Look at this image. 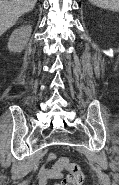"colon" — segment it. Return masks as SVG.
<instances>
[{"label": "colon", "instance_id": "5ec220e1", "mask_svg": "<svg viewBox=\"0 0 119 185\" xmlns=\"http://www.w3.org/2000/svg\"><path fill=\"white\" fill-rule=\"evenodd\" d=\"M58 163L62 169L68 171L67 176L57 185H81L84 179L80 167L69 160L68 157H60Z\"/></svg>", "mask_w": 119, "mask_h": 185}]
</instances>
